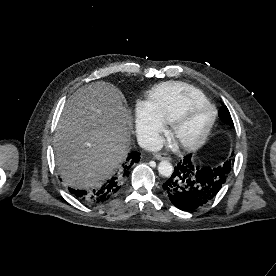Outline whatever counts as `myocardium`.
I'll list each match as a JSON object with an SVG mask.
<instances>
[{"instance_id": "obj_1", "label": "myocardium", "mask_w": 276, "mask_h": 276, "mask_svg": "<svg viewBox=\"0 0 276 276\" xmlns=\"http://www.w3.org/2000/svg\"><path fill=\"white\" fill-rule=\"evenodd\" d=\"M199 104H205L207 106H209L212 109V117L210 122L208 123V125L206 126V128L204 129V131L196 138L191 139V140H186V141H178L176 138V134L177 131L179 129V126L181 125V123L184 121V119L186 118V116L188 115V113L190 112V110ZM218 116V112L216 107L207 99H195L190 101L189 103H187L184 108L172 119V121L170 122V132L172 137L178 142V144L186 150H194L198 147H200L201 145H203L205 143V141L207 140V138L209 137L216 119Z\"/></svg>"}]
</instances>
